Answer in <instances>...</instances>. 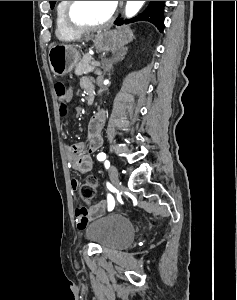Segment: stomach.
<instances>
[{
  "mask_svg": "<svg viewBox=\"0 0 237 300\" xmlns=\"http://www.w3.org/2000/svg\"><path fill=\"white\" fill-rule=\"evenodd\" d=\"M89 39L93 41L97 51H116V49H121L123 45L131 43L134 35L129 27H118L114 31H103V29L96 31V35L92 33L89 35ZM79 59L80 53L74 49L73 45H54L49 49L50 69L58 77L71 73Z\"/></svg>",
  "mask_w": 237,
  "mask_h": 300,
  "instance_id": "1",
  "label": "stomach"
}]
</instances>
